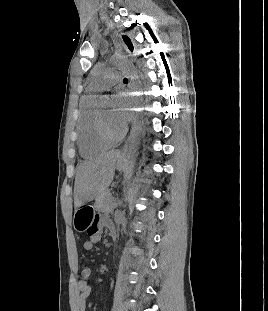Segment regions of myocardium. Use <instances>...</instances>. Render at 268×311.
<instances>
[{"instance_id":"f54148a6","label":"myocardium","mask_w":268,"mask_h":311,"mask_svg":"<svg viewBox=\"0 0 268 311\" xmlns=\"http://www.w3.org/2000/svg\"><path fill=\"white\" fill-rule=\"evenodd\" d=\"M97 131H98L99 136L103 140L110 142V143H116L124 138L127 128L125 125H123L119 132L117 133L111 132L105 122V119H104V116L101 110L99 109L97 112Z\"/></svg>"}]
</instances>
